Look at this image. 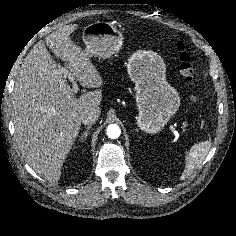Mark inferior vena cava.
<instances>
[{
    "instance_id": "inferior-vena-cava-1",
    "label": "inferior vena cava",
    "mask_w": 236,
    "mask_h": 236,
    "mask_svg": "<svg viewBox=\"0 0 236 236\" xmlns=\"http://www.w3.org/2000/svg\"><path fill=\"white\" fill-rule=\"evenodd\" d=\"M99 114H100L99 112L94 110L84 112L81 115V122L84 125H91L97 121V119L99 118Z\"/></svg>"
}]
</instances>
